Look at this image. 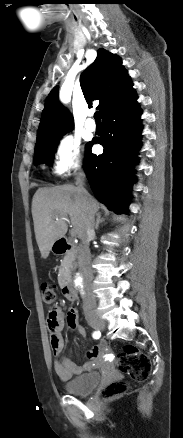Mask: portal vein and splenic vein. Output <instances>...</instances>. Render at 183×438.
<instances>
[{"label": "portal vein and splenic vein", "mask_w": 183, "mask_h": 438, "mask_svg": "<svg viewBox=\"0 0 183 438\" xmlns=\"http://www.w3.org/2000/svg\"><path fill=\"white\" fill-rule=\"evenodd\" d=\"M55 219H56V220H59V217L56 216ZM61 219H62V220H67L66 217H62ZM71 234H72V235H75V231H74L73 229H72V231H71Z\"/></svg>", "instance_id": "portal-vein-and-splenic-vein-1"}]
</instances>
